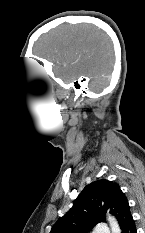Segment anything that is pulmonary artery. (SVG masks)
Instances as JSON below:
<instances>
[{
    "mask_svg": "<svg viewBox=\"0 0 145 233\" xmlns=\"http://www.w3.org/2000/svg\"><path fill=\"white\" fill-rule=\"evenodd\" d=\"M93 233H110L105 223H99Z\"/></svg>",
    "mask_w": 145,
    "mask_h": 233,
    "instance_id": "pulmonary-artery-1",
    "label": "pulmonary artery"
}]
</instances>
